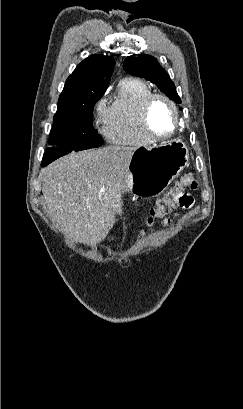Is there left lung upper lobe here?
I'll use <instances>...</instances> for the list:
<instances>
[{
    "label": "left lung upper lobe",
    "instance_id": "left-lung-upper-lobe-1",
    "mask_svg": "<svg viewBox=\"0 0 243 409\" xmlns=\"http://www.w3.org/2000/svg\"><path fill=\"white\" fill-rule=\"evenodd\" d=\"M123 68L131 75L143 77L156 84L169 98L176 103H181L174 83L171 81L167 72L157 62L156 58L150 55H142L139 57L128 56L124 61Z\"/></svg>",
    "mask_w": 243,
    "mask_h": 409
}]
</instances>
